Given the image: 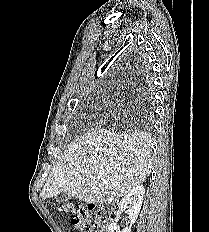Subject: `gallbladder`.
Returning <instances> with one entry per match:
<instances>
[{"label":"gallbladder","mask_w":209,"mask_h":232,"mask_svg":"<svg viewBox=\"0 0 209 232\" xmlns=\"http://www.w3.org/2000/svg\"><path fill=\"white\" fill-rule=\"evenodd\" d=\"M56 201L58 203H62V202H65L67 199H68V196L65 195V194H59L55 197Z\"/></svg>","instance_id":"obj_1"}]
</instances>
